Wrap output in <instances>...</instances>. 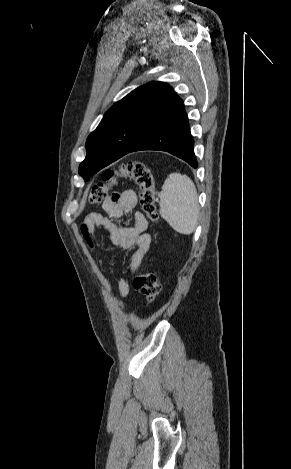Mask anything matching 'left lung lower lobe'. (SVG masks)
<instances>
[{
    "mask_svg": "<svg viewBox=\"0 0 291 469\" xmlns=\"http://www.w3.org/2000/svg\"><path fill=\"white\" fill-rule=\"evenodd\" d=\"M193 145L194 140L190 133L187 113L182 102L164 122L145 135L122 156L141 150H160L169 152L186 161L193 168H197L198 162Z\"/></svg>",
    "mask_w": 291,
    "mask_h": 469,
    "instance_id": "0a47b994",
    "label": "left lung lower lobe"
}]
</instances>
